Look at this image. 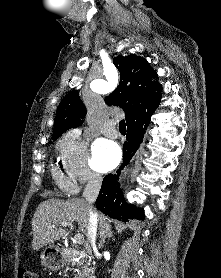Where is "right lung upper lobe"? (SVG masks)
I'll return each instance as SVG.
<instances>
[{"label":"right lung upper lobe","instance_id":"1","mask_svg":"<svg viewBox=\"0 0 221 278\" xmlns=\"http://www.w3.org/2000/svg\"><path fill=\"white\" fill-rule=\"evenodd\" d=\"M113 63L120 72V83L105 98V102L125 111L127 125L149 118L161 97V85L151 81V78H157L156 72L144 58L135 55L117 56ZM85 115L86 108L78 92L71 91L57 108L52 139L55 140L66 130L81 125Z\"/></svg>","mask_w":221,"mask_h":278}]
</instances>
